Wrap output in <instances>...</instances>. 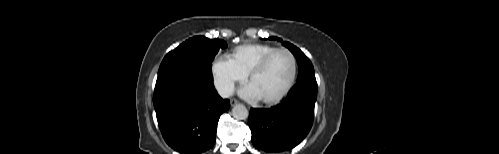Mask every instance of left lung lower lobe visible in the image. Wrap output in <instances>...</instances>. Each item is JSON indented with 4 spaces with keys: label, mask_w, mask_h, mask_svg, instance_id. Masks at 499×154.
Listing matches in <instances>:
<instances>
[{
    "label": "left lung lower lobe",
    "mask_w": 499,
    "mask_h": 154,
    "mask_svg": "<svg viewBox=\"0 0 499 154\" xmlns=\"http://www.w3.org/2000/svg\"><path fill=\"white\" fill-rule=\"evenodd\" d=\"M316 98V80H302L281 104L270 109L252 108L248 125L255 148L282 152L298 145L312 127Z\"/></svg>",
    "instance_id": "obj_1"
}]
</instances>
